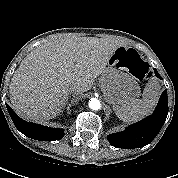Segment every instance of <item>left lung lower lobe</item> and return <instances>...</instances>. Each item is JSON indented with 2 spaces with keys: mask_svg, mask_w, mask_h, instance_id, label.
I'll return each mask as SVG.
<instances>
[{
  "mask_svg": "<svg viewBox=\"0 0 178 178\" xmlns=\"http://www.w3.org/2000/svg\"><path fill=\"white\" fill-rule=\"evenodd\" d=\"M155 75L161 78L156 69ZM168 115L167 91L164 90L154 113L142 121L129 126L125 131L110 134L107 139L116 148L133 149L143 147L156 137Z\"/></svg>",
  "mask_w": 178,
  "mask_h": 178,
  "instance_id": "obj_1",
  "label": "left lung lower lobe"
}]
</instances>
